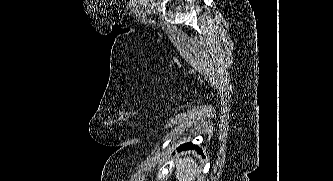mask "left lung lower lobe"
<instances>
[{
	"mask_svg": "<svg viewBox=\"0 0 333 181\" xmlns=\"http://www.w3.org/2000/svg\"><path fill=\"white\" fill-rule=\"evenodd\" d=\"M178 149H179V151L186 150V149H196L199 153L202 152V150L197 145H193L192 143L183 144Z\"/></svg>",
	"mask_w": 333,
	"mask_h": 181,
	"instance_id": "obj_1",
	"label": "left lung lower lobe"
}]
</instances>
